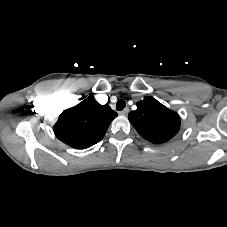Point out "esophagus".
I'll return each mask as SVG.
<instances>
[{
    "label": "esophagus",
    "mask_w": 227,
    "mask_h": 227,
    "mask_svg": "<svg viewBox=\"0 0 227 227\" xmlns=\"http://www.w3.org/2000/svg\"><path fill=\"white\" fill-rule=\"evenodd\" d=\"M129 112V108H125L124 110L120 111L119 114L122 116H126Z\"/></svg>",
    "instance_id": "1"
}]
</instances>
